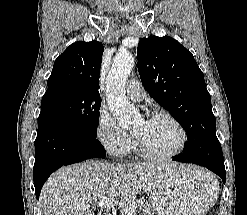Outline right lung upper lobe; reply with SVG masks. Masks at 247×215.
I'll list each match as a JSON object with an SVG mask.
<instances>
[{"label":"right lung upper lobe","mask_w":247,"mask_h":215,"mask_svg":"<svg viewBox=\"0 0 247 215\" xmlns=\"http://www.w3.org/2000/svg\"><path fill=\"white\" fill-rule=\"evenodd\" d=\"M103 51V45L97 41L71 44L55 60L47 92L67 88L100 97L98 89Z\"/></svg>","instance_id":"1"}]
</instances>
